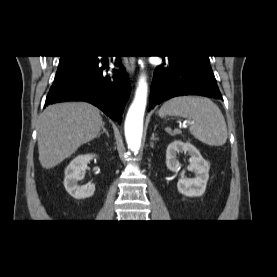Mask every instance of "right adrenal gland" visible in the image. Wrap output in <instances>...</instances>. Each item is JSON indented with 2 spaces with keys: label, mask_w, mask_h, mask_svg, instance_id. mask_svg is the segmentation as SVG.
Wrapping results in <instances>:
<instances>
[{
  "label": "right adrenal gland",
  "mask_w": 277,
  "mask_h": 277,
  "mask_svg": "<svg viewBox=\"0 0 277 277\" xmlns=\"http://www.w3.org/2000/svg\"><path fill=\"white\" fill-rule=\"evenodd\" d=\"M104 125H105V124L103 123V127H102L103 131H102L101 133L98 134V137H100L101 134H103V133H105V134L107 135V137H109V133H108V131L105 129Z\"/></svg>",
  "instance_id": "1"
}]
</instances>
